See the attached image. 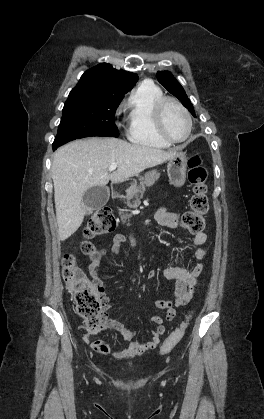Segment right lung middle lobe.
Here are the masks:
<instances>
[{"label": "right lung middle lobe", "instance_id": "obj_1", "mask_svg": "<svg viewBox=\"0 0 264 419\" xmlns=\"http://www.w3.org/2000/svg\"><path fill=\"white\" fill-rule=\"evenodd\" d=\"M123 96L73 89L65 102L53 147L90 136L118 137L114 116Z\"/></svg>", "mask_w": 264, "mask_h": 419}]
</instances>
